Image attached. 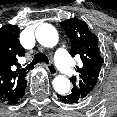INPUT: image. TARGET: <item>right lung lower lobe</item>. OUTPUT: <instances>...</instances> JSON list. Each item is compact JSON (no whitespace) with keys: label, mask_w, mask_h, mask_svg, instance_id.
<instances>
[{"label":"right lung lower lobe","mask_w":117,"mask_h":117,"mask_svg":"<svg viewBox=\"0 0 117 117\" xmlns=\"http://www.w3.org/2000/svg\"><path fill=\"white\" fill-rule=\"evenodd\" d=\"M27 85V81L25 82V84L20 88V90L17 92V94L15 95L14 98H12L11 100H9L8 102H6L7 104H17L18 101L23 97L24 92H25V88Z\"/></svg>","instance_id":"obj_1"}]
</instances>
